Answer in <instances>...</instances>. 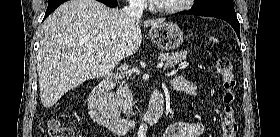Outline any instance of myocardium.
I'll list each match as a JSON object with an SVG mask.
<instances>
[{"mask_svg": "<svg viewBox=\"0 0 280 137\" xmlns=\"http://www.w3.org/2000/svg\"><path fill=\"white\" fill-rule=\"evenodd\" d=\"M190 2V0H180V3L175 6L170 7H161L155 3H151V8L157 12L160 13H166V14H173L179 11H182L186 9L187 4Z\"/></svg>", "mask_w": 280, "mask_h": 137, "instance_id": "f54148a6", "label": "myocardium"}]
</instances>
